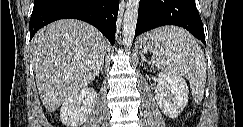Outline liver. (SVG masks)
<instances>
[{"label": "liver", "instance_id": "1", "mask_svg": "<svg viewBox=\"0 0 243 127\" xmlns=\"http://www.w3.org/2000/svg\"><path fill=\"white\" fill-rule=\"evenodd\" d=\"M106 47L104 36L80 20H58L36 33L31 41L33 68L48 112H54L95 79Z\"/></svg>", "mask_w": 243, "mask_h": 127}]
</instances>
